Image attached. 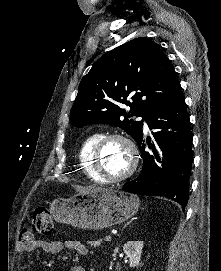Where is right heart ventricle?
Returning a JSON list of instances; mask_svg holds the SVG:
<instances>
[{
  "label": "right heart ventricle",
  "mask_w": 221,
  "mask_h": 271,
  "mask_svg": "<svg viewBox=\"0 0 221 271\" xmlns=\"http://www.w3.org/2000/svg\"><path fill=\"white\" fill-rule=\"evenodd\" d=\"M98 135L97 132L91 133L82 140L78 151V160L80 166L84 162L83 171L86 179H92V181H98V183H107V178L100 176V171H94L95 158H93L92 150H95V145L99 142Z\"/></svg>",
  "instance_id": "obj_1"
}]
</instances>
